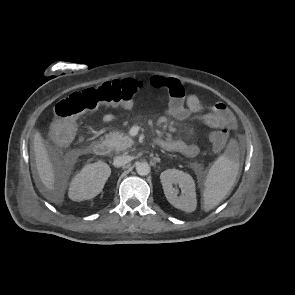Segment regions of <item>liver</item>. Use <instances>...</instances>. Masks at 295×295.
<instances>
[{
	"instance_id": "1",
	"label": "liver",
	"mask_w": 295,
	"mask_h": 295,
	"mask_svg": "<svg viewBox=\"0 0 295 295\" xmlns=\"http://www.w3.org/2000/svg\"><path fill=\"white\" fill-rule=\"evenodd\" d=\"M33 149L39 178L44 187L56 195V175L54 166L49 158L44 140L39 131H36L34 134Z\"/></svg>"
}]
</instances>
